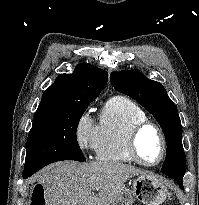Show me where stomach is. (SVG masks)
<instances>
[{"mask_svg": "<svg viewBox=\"0 0 199 205\" xmlns=\"http://www.w3.org/2000/svg\"><path fill=\"white\" fill-rule=\"evenodd\" d=\"M167 187L156 177L142 174L123 186L112 205H132L135 200L143 205H161L167 198Z\"/></svg>", "mask_w": 199, "mask_h": 205, "instance_id": "0dacf381", "label": "stomach"}]
</instances>
